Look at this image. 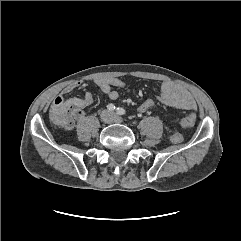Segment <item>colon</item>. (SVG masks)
Listing matches in <instances>:
<instances>
[{"mask_svg":"<svg viewBox=\"0 0 241 241\" xmlns=\"http://www.w3.org/2000/svg\"><path fill=\"white\" fill-rule=\"evenodd\" d=\"M155 102L151 99L143 101L139 106L138 110L141 113H152L155 110ZM74 118L73 107L70 106L67 101L62 97L56 98L54 104L50 109V120L51 122L59 127L68 128L72 126ZM196 122V116L190 114L181 120V126L184 128L192 127ZM183 140V136L180 133H175L171 137L173 143H180Z\"/></svg>","mask_w":241,"mask_h":241,"instance_id":"colon-1","label":"colon"}]
</instances>
